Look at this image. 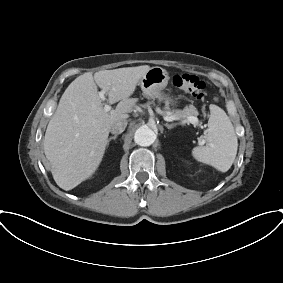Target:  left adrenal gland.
<instances>
[{"label": "left adrenal gland", "instance_id": "a2214340", "mask_svg": "<svg viewBox=\"0 0 283 283\" xmlns=\"http://www.w3.org/2000/svg\"><path fill=\"white\" fill-rule=\"evenodd\" d=\"M178 125V123H173V124H168V123H166L165 124V126L168 128V129H172V128H174L175 126H177Z\"/></svg>", "mask_w": 283, "mask_h": 283}]
</instances>
